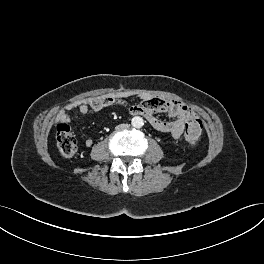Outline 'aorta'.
Listing matches in <instances>:
<instances>
[{
    "instance_id": "aorta-1",
    "label": "aorta",
    "mask_w": 264,
    "mask_h": 264,
    "mask_svg": "<svg viewBox=\"0 0 264 264\" xmlns=\"http://www.w3.org/2000/svg\"><path fill=\"white\" fill-rule=\"evenodd\" d=\"M131 124L135 128H141L144 125L143 118L140 116H135L132 118Z\"/></svg>"
}]
</instances>
